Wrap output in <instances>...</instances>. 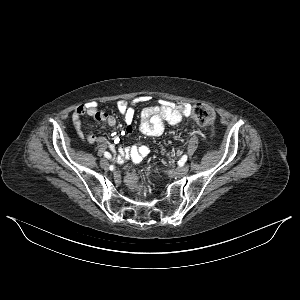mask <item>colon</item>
<instances>
[{"label":"colon","mask_w":300,"mask_h":300,"mask_svg":"<svg viewBox=\"0 0 300 300\" xmlns=\"http://www.w3.org/2000/svg\"><path fill=\"white\" fill-rule=\"evenodd\" d=\"M193 119L202 126H211L215 121V113L212 108L204 103H197L192 109ZM126 183L133 189H140L139 178L130 173L126 177Z\"/></svg>","instance_id":"5ec220e1"}]
</instances>
